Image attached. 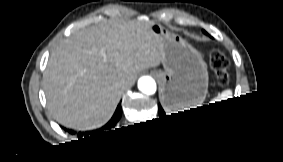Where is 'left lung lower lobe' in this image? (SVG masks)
Returning <instances> with one entry per match:
<instances>
[{
  "label": "left lung lower lobe",
  "instance_id": "left-lung-lower-lobe-1",
  "mask_svg": "<svg viewBox=\"0 0 283 162\" xmlns=\"http://www.w3.org/2000/svg\"><path fill=\"white\" fill-rule=\"evenodd\" d=\"M228 100H232V99H228ZM158 111H159V120L164 124V126H166L168 129H170V130H172L174 132H179V133H186V132H189L190 130H195V129L209 128V127H212L214 124H217V123H219L221 121H224L223 119H219L217 121L206 122L205 120L208 117H203L202 119L198 120L200 122L198 125H193V124H191L189 122L188 123L187 122L174 123L170 119V116L165 114V112L162 109L160 104L158 105ZM221 114H223V118H225V116L227 115V112H224V113H221ZM202 122H204V123H202Z\"/></svg>",
  "mask_w": 283,
  "mask_h": 162
}]
</instances>
